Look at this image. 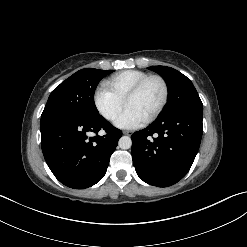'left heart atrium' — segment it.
<instances>
[{"label":"left heart atrium","mask_w":247,"mask_h":247,"mask_svg":"<svg viewBox=\"0 0 247 247\" xmlns=\"http://www.w3.org/2000/svg\"><path fill=\"white\" fill-rule=\"evenodd\" d=\"M146 117L131 106H126L118 116L115 124L120 128L132 129L142 126L146 122Z\"/></svg>","instance_id":"obj_1"}]
</instances>
